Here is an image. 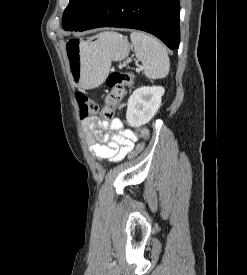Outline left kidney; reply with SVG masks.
Listing matches in <instances>:
<instances>
[{
  "instance_id": "1",
  "label": "left kidney",
  "mask_w": 247,
  "mask_h": 275,
  "mask_svg": "<svg viewBox=\"0 0 247 275\" xmlns=\"http://www.w3.org/2000/svg\"><path fill=\"white\" fill-rule=\"evenodd\" d=\"M164 92L161 86H144L136 89L128 99L127 123L131 127L148 123L158 111Z\"/></svg>"
}]
</instances>
